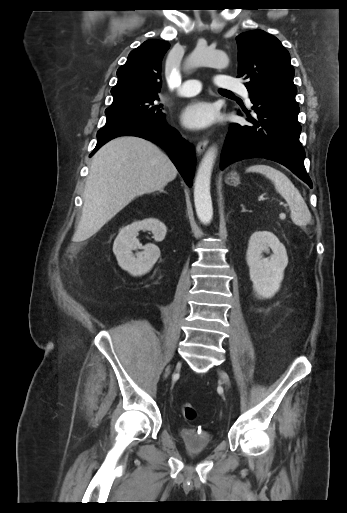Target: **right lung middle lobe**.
<instances>
[{
	"mask_svg": "<svg viewBox=\"0 0 347 513\" xmlns=\"http://www.w3.org/2000/svg\"><path fill=\"white\" fill-rule=\"evenodd\" d=\"M158 95L130 96L113 101L105 111L106 122L123 118H144L151 121H160L164 118L161 111L162 104H156Z\"/></svg>",
	"mask_w": 347,
	"mask_h": 513,
	"instance_id": "dd1d6c3e",
	"label": "right lung middle lobe"
}]
</instances>
